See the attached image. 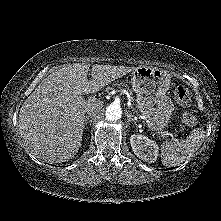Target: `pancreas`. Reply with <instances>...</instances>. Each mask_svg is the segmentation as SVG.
Returning <instances> with one entry per match:
<instances>
[{
	"label": "pancreas",
	"mask_w": 221,
	"mask_h": 221,
	"mask_svg": "<svg viewBox=\"0 0 221 221\" xmlns=\"http://www.w3.org/2000/svg\"><path fill=\"white\" fill-rule=\"evenodd\" d=\"M113 87H116L118 89H126L127 91H129L130 93H132L131 89L129 88L128 84L126 82H120V83H113L112 87H107V91H110L111 89H113Z\"/></svg>",
	"instance_id": "cf45deb5"
}]
</instances>
